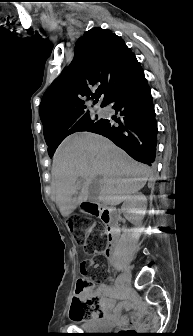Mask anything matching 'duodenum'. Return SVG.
Listing matches in <instances>:
<instances>
[{
  "instance_id": "duodenum-1",
  "label": "duodenum",
  "mask_w": 193,
  "mask_h": 336,
  "mask_svg": "<svg viewBox=\"0 0 193 336\" xmlns=\"http://www.w3.org/2000/svg\"><path fill=\"white\" fill-rule=\"evenodd\" d=\"M83 208L100 218L104 223L107 235L105 256L108 260H112L115 254L119 227V219L115 208L90 202H84Z\"/></svg>"
}]
</instances>
